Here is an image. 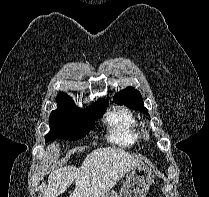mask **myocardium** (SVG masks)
Returning <instances> with one entry per match:
<instances>
[{
	"label": "myocardium",
	"instance_id": "obj_1",
	"mask_svg": "<svg viewBox=\"0 0 209 197\" xmlns=\"http://www.w3.org/2000/svg\"><path fill=\"white\" fill-rule=\"evenodd\" d=\"M143 136H144L145 139H148L149 133L148 132H145Z\"/></svg>",
	"mask_w": 209,
	"mask_h": 197
}]
</instances>
